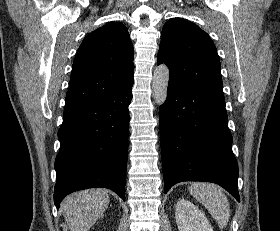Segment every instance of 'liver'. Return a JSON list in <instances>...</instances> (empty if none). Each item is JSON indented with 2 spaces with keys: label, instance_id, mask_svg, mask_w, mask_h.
<instances>
[{
  "label": "liver",
  "instance_id": "obj_1",
  "mask_svg": "<svg viewBox=\"0 0 280 231\" xmlns=\"http://www.w3.org/2000/svg\"><path fill=\"white\" fill-rule=\"evenodd\" d=\"M109 201L108 189H84L67 195L62 207L71 231H88L101 217Z\"/></svg>",
  "mask_w": 280,
  "mask_h": 231
}]
</instances>
